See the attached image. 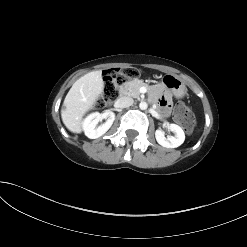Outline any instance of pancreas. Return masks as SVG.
<instances>
[{
  "instance_id": "pancreas-1",
  "label": "pancreas",
  "mask_w": 247,
  "mask_h": 247,
  "mask_svg": "<svg viewBox=\"0 0 247 247\" xmlns=\"http://www.w3.org/2000/svg\"><path fill=\"white\" fill-rule=\"evenodd\" d=\"M142 86L148 85L145 84L142 80L134 79L132 81L123 83L119 88V92L122 95H128L139 99L141 96L139 89Z\"/></svg>"
}]
</instances>
